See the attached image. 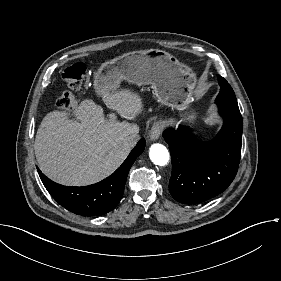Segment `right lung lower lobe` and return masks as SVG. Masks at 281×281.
Returning <instances> with one entry per match:
<instances>
[{"label":"right lung lower lobe","instance_id":"right-lung-lower-lobe-1","mask_svg":"<svg viewBox=\"0 0 281 281\" xmlns=\"http://www.w3.org/2000/svg\"><path fill=\"white\" fill-rule=\"evenodd\" d=\"M144 148L145 139L143 138L112 175L93 185L64 186L51 181L39 169L38 172L51 196L67 210L82 216L104 215L120 202L128 172Z\"/></svg>","mask_w":281,"mask_h":281}]
</instances>
